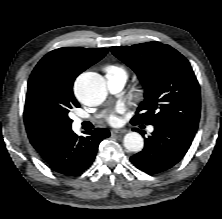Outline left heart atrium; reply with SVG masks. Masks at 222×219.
<instances>
[{
    "label": "left heart atrium",
    "instance_id": "1",
    "mask_svg": "<svg viewBox=\"0 0 222 219\" xmlns=\"http://www.w3.org/2000/svg\"><path fill=\"white\" fill-rule=\"evenodd\" d=\"M108 122L112 125H115L118 123V119L115 115H111L109 118H108Z\"/></svg>",
    "mask_w": 222,
    "mask_h": 219
}]
</instances>
